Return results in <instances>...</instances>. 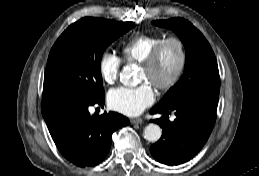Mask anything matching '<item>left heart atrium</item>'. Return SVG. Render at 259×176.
Wrapping results in <instances>:
<instances>
[{
  "label": "left heart atrium",
  "instance_id": "left-heart-atrium-1",
  "mask_svg": "<svg viewBox=\"0 0 259 176\" xmlns=\"http://www.w3.org/2000/svg\"><path fill=\"white\" fill-rule=\"evenodd\" d=\"M107 98L113 110L135 116L154 102L155 95L151 84L144 82L134 87L120 86L111 89Z\"/></svg>",
  "mask_w": 259,
  "mask_h": 176
}]
</instances>
